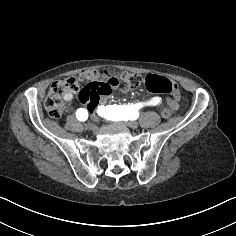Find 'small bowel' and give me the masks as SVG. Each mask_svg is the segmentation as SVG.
<instances>
[{
	"mask_svg": "<svg viewBox=\"0 0 236 236\" xmlns=\"http://www.w3.org/2000/svg\"><path fill=\"white\" fill-rule=\"evenodd\" d=\"M127 90H128V89H123L124 92H126ZM106 102H107V98H105V97H103V98L99 101V103H100L101 105L106 104ZM161 102H162L161 98L158 97V96H156V97L150 98V99L147 101V104H148V106H157V105H159ZM169 105H171L170 101H169Z\"/></svg>",
	"mask_w": 236,
	"mask_h": 236,
	"instance_id": "1",
	"label": "small bowel"
}]
</instances>
